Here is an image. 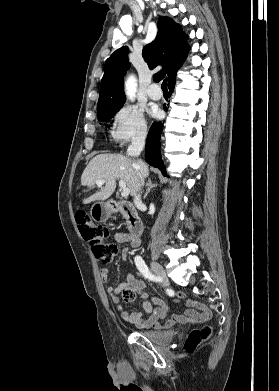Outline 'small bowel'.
<instances>
[{
  "instance_id": "obj_1",
  "label": "small bowel",
  "mask_w": 279,
  "mask_h": 391,
  "mask_svg": "<svg viewBox=\"0 0 279 391\" xmlns=\"http://www.w3.org/2000/svg\"><path fill=\"white\" fill-rule=\"evenodd\" d=\"M115 240L119 243L129 242V246L125 247L122 251V259L126 260L128 255L133 249H135L139 242L135 243L132 236L125 232H119L115 235ZM100 277L102 281L106 282L109 277V271L106 268L100 270ZM121 288H130L134 292L138 293L141 298V304L143 310L150 316L145 319L142 312H127L123 309L118 296V290L113 286L107 287V292L113 300L114 304L118 308L121 314V318L138 328H154L165 329L174 326L177 323H205L211 318V311L209 308L199 302L188 299L183 293H177L175 295L177 301L184 302L187 309L183 314L173 315L169 318L165 324H160L159 320L163 319L167 312V305L160 299H153L149 301V294L147 292V286L145 282L136 279L133 275H129L127 282L121 286ZM152 304L155 305L153 308Z\"/></svg>"
}]
</instances>
